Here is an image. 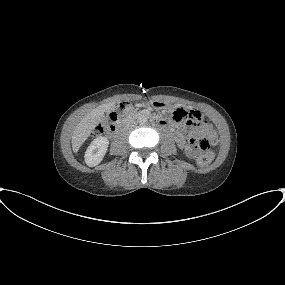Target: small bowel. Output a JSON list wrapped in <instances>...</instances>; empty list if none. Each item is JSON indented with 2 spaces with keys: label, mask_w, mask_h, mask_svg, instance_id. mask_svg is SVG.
Wrapping results in <instances>:
<instances>
[{
  "label": "small bowel",
  "mask_w": 285,
  "mask_h": 285,
  "mask_svg": "<svg viewBox=\"0 0 285 285\" xmlns=\"http://www.w3.org/2000/svg\"><path fill=\"white\" fill-rule=\"evenodd\" d=\"M196 119L192 122L187 123L186 125L191 126V127H196V126H205V123L202 121V114L198 110H194ZM176 140L181 148H186L187 143L185 139V135L182 132H177L176 133Z\"/></svg>",
  "instance_id": "1"
}]
</instances>
